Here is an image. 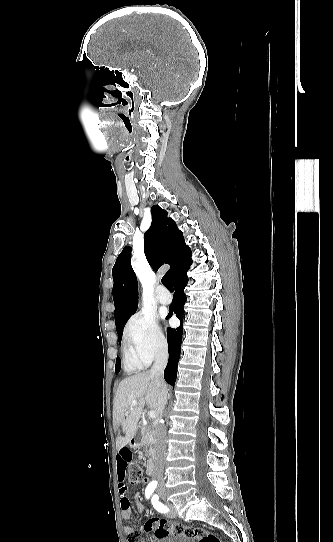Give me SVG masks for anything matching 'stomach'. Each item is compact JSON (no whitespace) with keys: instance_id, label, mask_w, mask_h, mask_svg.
Instances as JSON below:
<instances>
[{"instance_id":"0dacf381","label":"stomach","mask_w":333,"mask_h":542,"mask_svg":"<svg viewBox=\"0 0 333 542\" xmlns=\"http://www.w3.org/2000/svg\"><path fill=\"white\" fill-rule=\"evenodd\" d=\"M143 442V434H141L140 430L136 432L134 438L130 440L129 446L130 448H141Z\"/></svg>"}]
</instances>
